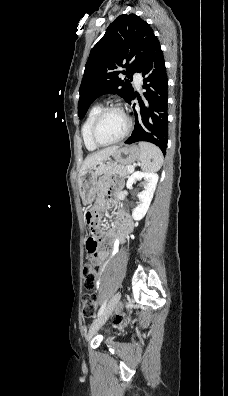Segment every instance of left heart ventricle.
Returning <instances> with one entry per match:
<instances>
[{
    "label": "left heart ventricle",
    "instance_id": "obj_1",
    "mask_svg": "<svg viewBox=\"0 0 228 396\" xmlns=\"http://www.w3.org/2000/svg\"><path fill=\"white\" fill-rule=\"evenodd\" d=\"M126 129V118L122 112L112 110L101 119L97 136L102 142H109L118 138Z\"/></svg>",
    "mask_w": 228,
    "mask_h": 396
}]
</instances>
